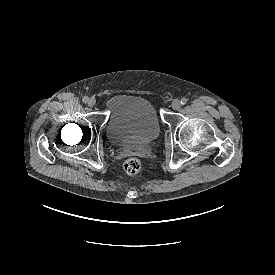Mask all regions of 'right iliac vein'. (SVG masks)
Returning <instances> with one entry per match:
<instances>
[{
	"mask_svg": "<svg viewBox=\"0 0 275 275\" xmlns=\"http://www.w3.org/2000/svg\"><path fill=\"white\" fill-rule=\"evenodd\" d=\"M96 104V99L95 98H90L88 101V106L93 107Z\"/></svg>",
	"mask_w": 275,
	"mask_h": 275,
	"instance_id": "right-iliac-vein-1",
	"label": "right iliac vein"
}]
</instances>
